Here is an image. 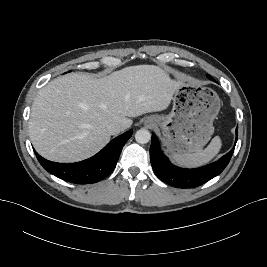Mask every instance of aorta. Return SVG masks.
I'll list each match as a JSON object with an SVG mask.
<instances>
[{
    "label": "aorta",
    "mask_w": 267,
    "mask_h": 267,
    "mask_svg": "<svg viewBox=\"0 0 267 267\" xmlns=\"http://www.w3.org/2000/svg\"><path fill=\"white\" fill-rule=\"evenodd\" d=\"M151 139V133L147 129H140L135 133V140L140 144H146Z\"/></svg>",
    "instance_id": "aorta-1"
}]
</instances>
